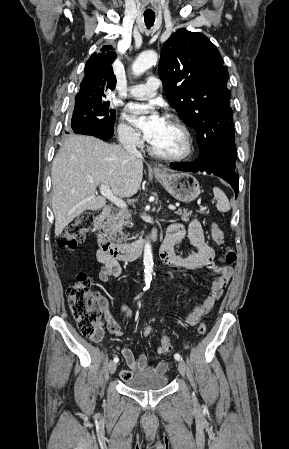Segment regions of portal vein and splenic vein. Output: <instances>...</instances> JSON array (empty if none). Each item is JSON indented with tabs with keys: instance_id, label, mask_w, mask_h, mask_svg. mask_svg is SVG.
Returning a JSON list of instances; mask_svg holds the SVG:
<instances>
[{
	"instance_id": "portal-vein-and-splenic-vein-1",
	"label": "portal vein and splenic vein",
	"mask_w": 289,
	"mask_h": 449,
	"mask_svg": "<svg viewBox=\"0 0 289 449\" xmlns=\"http://www.w3.org/2000/svg\"><path fill=\"white\" fill-rule=\"evenodd\" d=\"M99 191H100V193H101L105 198H107L108 200H110V201H111L112 203H114L117 207H119V208H121V209H123V210H126V209H127L126 203H125L122 199H120V198H118L116 195H114V194L112 193V191L110 190V188H109L107 185H100V186H99ZM168 208H169L170 210H175V209H176V206H174V205H169Z\"/></svg>"
}]
</instances>
